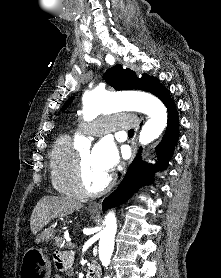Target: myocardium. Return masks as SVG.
Listing matches in <instances>:
<instances>
[{"mask_svg":"<svg viewBox=\"0 0 221 278\" xmlns=\"http://www.w3.org/2000/svg\"><path fill=\"white\" fill-rule=\"evenodd\" d=\"M74 181L82 196L96 197L104 194L112 187L114 183V176L109 175L106 182L98 189L89 188L85 180L81 154L77 153L74 161Z\"/></svg>","mask_w":221,"mask_h":278,"instance_id":"myocardium-1","label":"myocardium"}]
</instances>
